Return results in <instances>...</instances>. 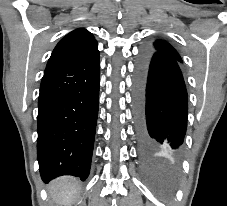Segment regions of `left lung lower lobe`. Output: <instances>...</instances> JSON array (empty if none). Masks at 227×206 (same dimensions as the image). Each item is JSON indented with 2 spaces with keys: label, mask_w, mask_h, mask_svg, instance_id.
<instances>
[{
  "label": "left lung lower lobe",
  "mask_w": 227,
  "mask_h": 206,
  "mask_svg": "<svg viewBox=\"0 0 227 206\" xmlns=\"http://www.w3.org/2000/svg\"><path fill=\"white\" fill-rule=\"evenodd\" d=\"M187 91L178 61L142 51L134 76L136 138L145 152L180 153L187 127Z\"/></svg>",
  "instance_id": "0a47b994"
}]
</instances>
